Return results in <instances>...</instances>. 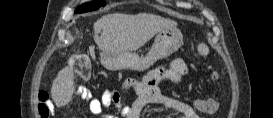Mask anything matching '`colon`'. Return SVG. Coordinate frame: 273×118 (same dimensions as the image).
Here are the masks:
<instances>
[{
    "instance_id": "1",
    "label": "colon",
    "mask_w": 273,
    "mask_h": 118,
    "mask_svg": "<svg viewBox=\"0 0 273 118\" xmlns=\"http://www.w3.org/2000/svg\"><path fill=\"white\" fill-rule=\"evenodd\" d=\"M71 65L81 80L89 81L91 79V67L85 55H83L82 53L74 54L71 58ZM212 78L217 80L218 74L216 72H213ZM38 98V110L40 117L49 118L52 108V102L49 93L46 91H40ZM196 106L199 111L210 114L218 110L219 101L216 98H209L197 102Z\"/></svg>"
}]
</instances>
